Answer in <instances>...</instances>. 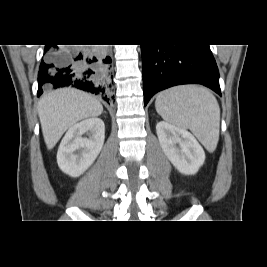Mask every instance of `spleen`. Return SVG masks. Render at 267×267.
Instances as JSON below:
<instances>
[{"instance_id":"3e777b00","label":"spleen","mask_w":267,"mask_h":267,"mask_svg":"<svg viewBox=\"0 0 267 267\" xmlns=\"http://www.w3.org/2000/svg\"><path fill=\"white\" fill-rule=\"evenodd\" d=\"M155 108L165 121L190 129L209 152L216 149L220 108L209 90L196 85L173 87L157 95Z\"/></svg>"}]
</instances>
